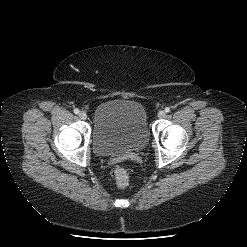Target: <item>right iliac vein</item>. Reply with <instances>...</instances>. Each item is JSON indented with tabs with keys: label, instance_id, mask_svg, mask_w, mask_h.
<instances>
[{
	"label": "right iliac vein",
	"instance_id": "obj_1",
	"mask_svg": "<svg viewBox=\"0 0 247 247\" xmlns=\"http://www.w3.org/2000/svg\"><path fill=\"white\" fill-rule=\"evenodd\" d=\"M79 117H80L82 120H86V119H87V113H86L85 111H80Z\"/></svg>",
	"mask_w": 247,
	"mask_h": 247
}]
</instances>
